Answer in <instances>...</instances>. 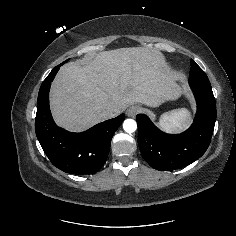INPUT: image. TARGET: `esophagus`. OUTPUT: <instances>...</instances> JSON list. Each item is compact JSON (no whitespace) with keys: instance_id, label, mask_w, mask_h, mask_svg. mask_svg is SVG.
Here are the masks:
<instances>
[{"instance_id":"obj_1","label":"esophagus","mask_w":236,"mask_h":236,"mask_svg":"<svg viewBox=\"0 0 236 236\" xmlns=\"http://www.w3.org/2000/svg\"><path fill=\"white\" fill-rule=\"evenodd\" d=\"M140 111V107L137 105H133L130 106L127 110H126V115L128 117H134L138 112Z\"/></svg>"}]
</instances>
